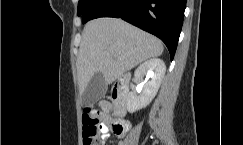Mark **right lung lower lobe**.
I'll return each mask as SVG.
<instances>
[{
	"label": "right lung lower lobe",
	"instance_id": "right-lung-lower-lobe-1",
	"mask_svg": "<svg viewBox=\"0 0 243 145\" xmlns=\"http://www.w3.org/2000/svg\"><path fill=\"white\" fill-rule=\"evenodd\" d=\"M186 0H95L82 22L98 17L121 18L159 37L173 60L180 36Z\"/></svg>",
	"mask_w": 243,
	"mask_h": 145
}]
</instances>
